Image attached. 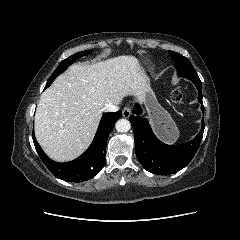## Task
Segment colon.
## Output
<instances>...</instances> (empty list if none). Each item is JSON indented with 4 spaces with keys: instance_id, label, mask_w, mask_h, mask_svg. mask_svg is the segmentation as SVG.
Instances as JSON below:
<instances>
[{
    "instance_id": "1",
    "label": "colon",
    "mask_w": 240,
    "mask_h": 240,
    "mask_svg": "<svg viewBox=\"0 0 240 240\" xmlns=\"http://www.w3.org/2000/svg\"><path fill=\"white\" fill-rule=\"evenodd\" d=\"M183 98H184V95L182 93V91L180 89H173L172 92H171V99L173 102L179 104V105H182L183 104Z\"/></svg>"
}]
</instances>
